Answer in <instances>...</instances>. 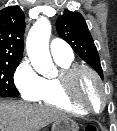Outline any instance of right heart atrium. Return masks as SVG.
I'll return each instance as SVG.
<instances>
[{"label": "right heart atrium", "instance_id": "d8ad5b80", "mask_svg": "<svg viewBox=\"0 0 117 131\" xmlns=\"http://www.w3.org/2000/svg\"><path fill=\"white\" fill-rule=\"evenodd\" d=\"M43 77L28 61H23L14 73V83L21 96L28 101H36L43 87Z\"/></svg>", "mask_w": 117, "mask_h": 131}]
</instances>
